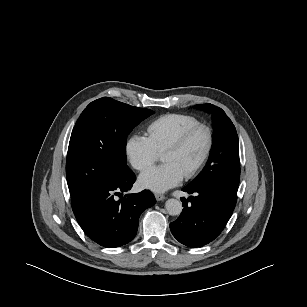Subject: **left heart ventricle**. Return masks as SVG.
<instances>
[{
	"label": "left heart ventricle",
	"instance_id": "b2bd125f",
	"mask_svg": "<svg viewBox=\"0 0 307 307\" xmlns=\"http://www.w3.org/2000/svg\"><path fill=\"white\" fill-rule=\"evenodd\" d=\"M206 144L207 138L205 132L202 130L197 131L181 149L164 154L162 156V162L175 165L185 175L201 159Z\"/></svg>",
	"mask_w": 307,
	"mask_h": 307
}]
</instances>
